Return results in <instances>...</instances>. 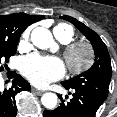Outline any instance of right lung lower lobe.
Segmentation results:
<instances>
[{
  "label": "right lung lower lobe",
  "mask_w": 117,
  "mask_h": 117,
  "mask_svg": "<svg viewBox=\"0 0 117 117\" xmlns=\"http://www.w3.org/2000/svg\"><path fill=\"white\" fill-rule=\"evenodd\" d=\"M30 84L20 75H16L12 87L0 91V117H15L17 114V107L15 95L23 90L29 91Z\"/></svg>",
  "instance_id": "right-lung-lower-lobe-1"
}]
</instances>
